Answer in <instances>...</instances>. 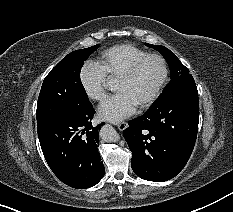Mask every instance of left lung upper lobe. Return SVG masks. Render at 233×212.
<instances>
[{
	"mask_svg": "<svg viewBox=\"0 0 233 212\" xmlns=\"http://www.w3.org/2000/svg\"><path fill=\"white\" fill-rule=\"evenodd\" d=\"M146 45L159 51L167 60L171 70V80L157 100H167L179 94L198 95L195 81L192 75L189 74V70L168 48L147 43Z\"/></svg>",
	"mask_w": 233,
	"mask_h": 212,
	"instance_id": "left-lung-upper-lobe-1",
	"label": "left lung upper lobe"
}]
</instances>
